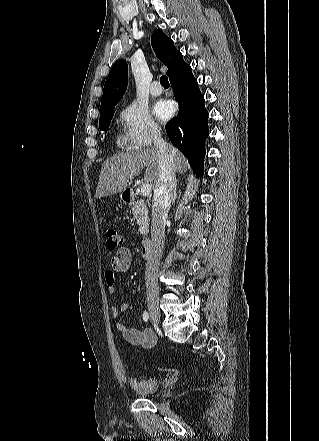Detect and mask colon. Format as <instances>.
<instances>
[{
  "label": "colon",
  "mask_w": 319,
  "mask_h": 441,
  "mask_svg": "<svg viewBox=\"0 0 319 441\" xmlns=\"http://www.w3.org/2000/svg\"><path fill=\"white\" fill-rule=\"evenodd\" d=\"M106 246L109 250H115L122 246L123 239L117 229L109 226L105 229Z\"/></svg>",
  "instance_id": "1"
}]
</instances>
